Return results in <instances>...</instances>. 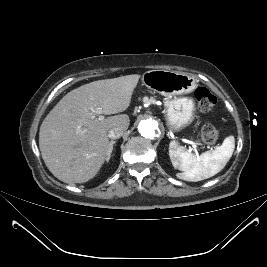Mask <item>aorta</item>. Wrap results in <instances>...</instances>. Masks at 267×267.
<instances>
[{
  "label": "aorta",
  "mask_w": 267,
  "mask_h": 267,
  "mask_svg": "<svg viewBox=\"0 0 267 267\" xmlns=\"http://www.w3.org/2000/svg\"><path fill=\"white\" fill-rule=\"evenodd\" d=\"M138 130L143 137L153 139L157 135L158 124L152 119H144L140 121Z\"/></svg>",
  "instance_id": "1"
}]
</instances>
